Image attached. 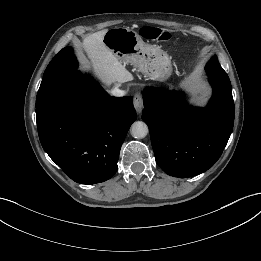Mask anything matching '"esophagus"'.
I'll return each instance as SVG.
<instances>
[{
    "instance_id": "obj_1",
    "label": "esophagus",
    "mask_w": 261,
    "mask_h": 261,
    "mask_svg": "<svg viewBox=\"0 0 261 261\" xmlns=\"http://www.w3.org/2000/svg\"><path fill=\"white\" fill-rule=\"evenodd\" d=\"M133 104L137 113L140 114L144 107L143 96L139 93L135 94Z\"/></svg>"
}]
</instances>
